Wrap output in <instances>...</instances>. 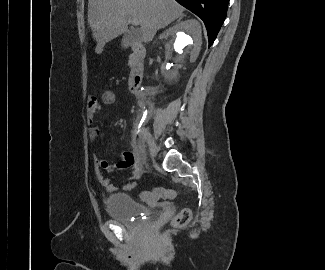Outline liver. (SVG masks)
<instances>
[{"label": "liver", "mask_w": 325, "mask_h": 270, "mask_svg": "<svg viewBox=\"0 0 325 270\" xmlns=\"http://www.w3.org/2000/svg\"><path fill=\"white\" fill-rule=\"evenodd\" d=\"M175 0H89L88 23L97 50L127 30V18L139 20L141 40L152 41L156 32L182 16Z\"/></svg>", "instance_id": "6515ba94"}]
</instances>
